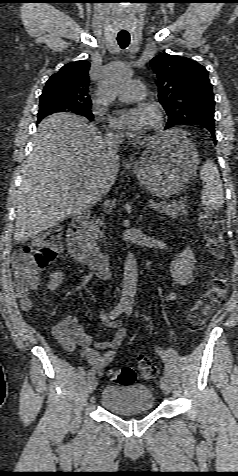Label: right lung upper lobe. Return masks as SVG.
<instances>
[{
  "instance_id": "obj_1",
  "label": "right lung upper lobe",
  "mask_w": 238,
  "mask_h": 476,
  "mask_svg": "<svg viewBox=\"0 0 238 476\" xmlns=\"http://www.w3.org/2000/svg\"><path fill=\"white\" fill-rule=\"evenodd\" d=\"M89 68L86 60L64 65L46 82L40 102H53L69 111L91 107Z\"/></svg>"
}]
</instances>
